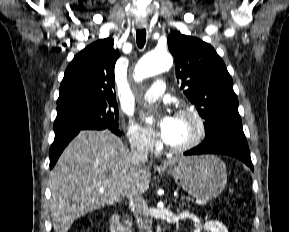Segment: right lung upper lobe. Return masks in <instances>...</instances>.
Segmentation results:
<instances>
[{
	"label": "right lung upper lobe",
	"instance_id": "obj_1",
	"mask_svg": "<svg viewBox=\"0 0 289 232\" xmlns=\"http://www.w3.org/2000/svg\"><path fill=\"white\" fill-rule=\"evenodd\" d=\"M113 39L98 40L77 54L60 85L57 107L74 101L116 102L114 67L119 58Z\"/></svg>",
	"mask_w": 289,
	"mask_h": 232
}]
</instances>
